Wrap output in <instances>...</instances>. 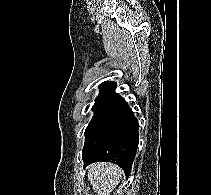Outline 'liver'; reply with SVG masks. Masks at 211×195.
<instances>
[{
	"mask_svg": "<svg viewBox=\"0 0 211 195\" xmlns=\"http://www.w3.org/2000/svg\"><path fill=\"white\" fill-rule=\"evenodd\" d=\"M87 177L97 195H110L120 183L123 170L112 163L97 162L87 168Z\"/></svg>",
	"mask_w": 211,
	"mask_h": 195,
	"instance_id": "obj_1",
	"label": "liver"
}]
</instances>
